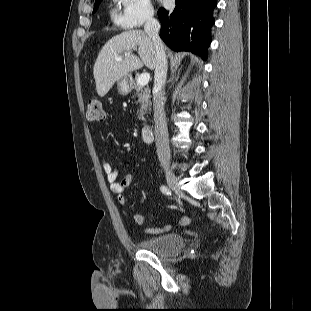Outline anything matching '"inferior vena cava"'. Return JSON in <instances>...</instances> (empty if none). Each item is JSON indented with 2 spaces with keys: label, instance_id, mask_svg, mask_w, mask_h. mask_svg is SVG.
I'll return each instance as SVG.
<instances>
[{
  "label": "inferior vena cava",
  "instance_id": "602c4592",
  "mask_svg": "<svg viewBox=\"0 0 311 311\" xmlns=\"http://www.w3.org/2000/svg\"><path fill=\"white\" fill-rule=\"evenodd\" d=\"M145 33L152 40L156 52V67L153 89V109L157 155L163 166L170 164V149L166 116L164 112V88L167 77V59L164 44L159 37L160 23L150 13L144 25Z\"/></svg>",
  "mask_w": 311,
  "mask_h": 311
}]
</instances>
